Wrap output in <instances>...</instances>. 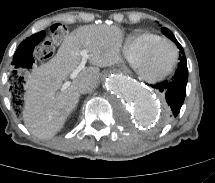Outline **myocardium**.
<instances>
[{
  "mask_svg": "<svg viewBox=\"0 0 215 183\" xmlns=\"http://www.w3.org/2000/svg\"><path fill=\"white\" fill-rule=\"evenodd\" d=\"M161 43H168L172 46L173 52H174L173 60L169 65V67L163 70L162 72L157 74H150L144 68L145 60L147 56ZM178 61H179V51L177 46L171 40L166 38H161L155 41L154 43H152L151 45H149L137 58V60L135 61L132 67L136 71L139 78L144 82L149 84H159L161 82H164L175 71Z\"/></svg>",
  "mask_w": 215,
  "mask_h": 183,
  "instance_id": "1",
  "label": "myocardium"
}]
</instances>
